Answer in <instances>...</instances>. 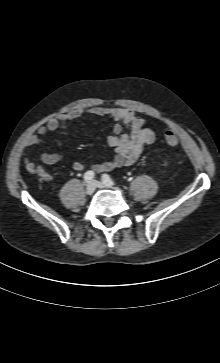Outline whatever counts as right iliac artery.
<instances>
[{"instance_id": "82829eb1", "label": "right iliac artery", "mask_w": 220, "mask_h": 363, "mask_svg": "<svg viewBox=\"0 0 220 363\" xmlns=\"http://www.w3.org/2000/svg\"><path fill=\"white\" fill-rule=\"evenodd\" d=\"M95 177V174L93 171H87L85 174H84V180L86 182H90L93 178Z\"/></svg>"}]
</instances>
